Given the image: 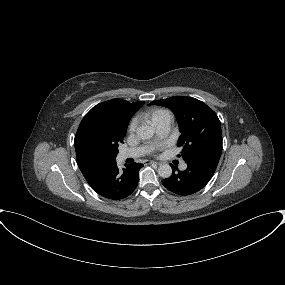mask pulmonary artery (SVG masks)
Instances as JSON below:
<instances>
[{"mask_svg":"<svg viewBox=\"0 0 285 285\" xmlns=\"http://www.w3.org/2000/svg\"><path fill=\"white\" fill-rule=\"evenodd\" d=\"M171 122H172V117L170 114H167L163 117H161L155 124L157 134L159 138H164L168 135L171 129ZM152 150V146H142V147H137V148H131L124 150L119 153V159H126V158H136L143 156L146 153H149ZM180 168L184 170L186 168V164L182 163L180 165Z\"/></svg>","mask_w":285,"mask_h":285,"instance_id":"1","label":"pulmonary artery"}]
</instances>
